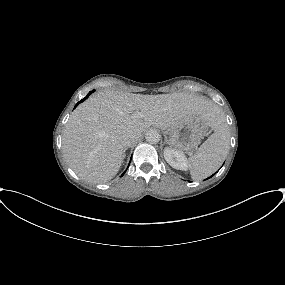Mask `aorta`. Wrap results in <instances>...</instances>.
Returning <instances> with one entry per match:
<instances>
[{"mask_svg":"<svg viewBox=\"0 0 285 285\" xmlns=\"http://www.w3.org/2000/svg\"><path fill=\"white\" fill-rule=\"evenodd\" d=\"M160 134L156 130H149L146 133L145 139L150 144H156L160 141Z\"/></svg>","mask_w":285,"mask_h":285,"instance_id":"aorta-1","label":"aorta"}]
</instances>
